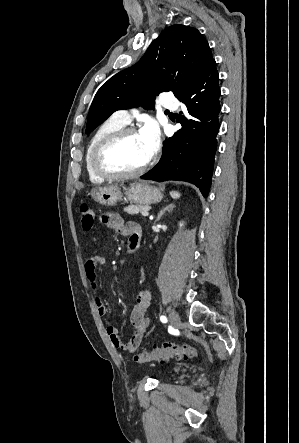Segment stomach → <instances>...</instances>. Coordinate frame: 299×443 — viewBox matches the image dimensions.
<instances>
[{
  "instance_id": "stomach-1",
  "label": "stomach",
  "mask_w": 299,
  "mask_h": 443,
  "mask_svg": "<svg viewBox=\"0 0 299 443\" xmlns=\"http://www.w3.org/2000/svg\"><path fill=\"white\" fill-rule=\"evenodd\" d=\"M92 198L101 205L114 206L122 200V192L118 186L93 188L90 192ZM127 200L138 205H149L159 202L163 194L161 190L147 182H136L125 189Z\"/></svg>"
}]
</instances>
